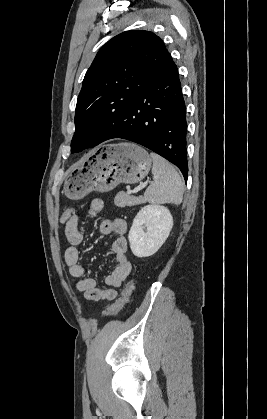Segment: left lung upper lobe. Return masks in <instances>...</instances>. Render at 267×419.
<instances>
[{
  "label": "left lung upper lobe",
  "mask_w": 267,
  "mask_h": 419,
  "mask_svg": "<svg viewBox=\"0 0 267 419\" xmlns=\"http://www.w3.org/2000/svg\"><path fill=\"white\" fill-rule=\"evenodd\" d=\"M167 55L163 41L144 30L123 32L99 50L77 99L71 152L91 147L104 123L126 112Z\"/></svg>",
  "instance_id": "obj_1"
}]
</instances>
